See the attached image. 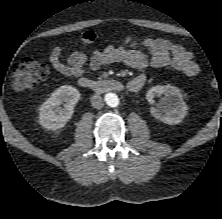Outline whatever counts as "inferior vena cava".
Segmentation results:
<instances>
[{
  "mask_svg": "<svg viewBox=\"0 0 222 219\" xmlns=\"http://www.w3.org/2000/svg\"><path fill=\"white\" fill-rule=\"evenodd\" d=\"M91 104L95 109H101L104 106L103 99L100 95H93L91 97Z\"/></svg>",
  "mask_w": 222,
  "mask_h": 219,
  "instance_id": "inferior-vena-cava-1",
  "label": "inferior vena cava"
}]
</instances>
